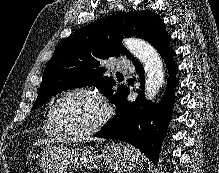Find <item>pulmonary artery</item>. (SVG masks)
<instances>
[{
  "label": "pulmonary artery",
  "mask_w": 219,
  "mask_h": 173,
  "mask_svg": "<svg viewBox=\"0 0 219 173\" xmlns=\"http://www.w3.org/2000/svg\"><path fill=\"white\" fill-rule=\"evenodd\" d=\"M115 66L116 69L121 71V72H130L133 69V65L132 63L125 59V58H121L115 61Z\"/></svg>",
  "instance_id": "obj_1"
}]
</instances>
